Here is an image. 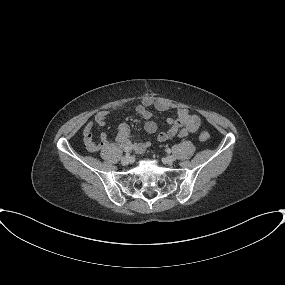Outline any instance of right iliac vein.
<instances>
[{"label":"right iliac vein","instance_id":"1","mask_svg":"<svg viewBox=\"0 0 285 285\" xmlns=\"http://www.w3.org/2000/svg\"><path fill=\"white\" fill-rule=\"evenodd\" d=\"M132 160H133L132 157H130V156H124V157L121 159V163H122L123 165H128L129 163L132 162Z\"/></svg>","mask_w":285,"mask_h":285}]
</instances>
